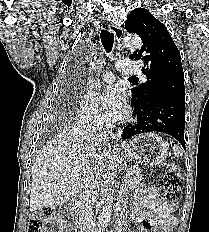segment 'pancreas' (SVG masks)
<instances>
[{"label": "pancreas", "mask_w": 209, "mask_h": 232, "mask_svg": "<svg viewBox=\"0 0 209 232\" xmlns=\"http://www.w3.org/2000/svg\"><path fill=\"white\" fill-rule=\"evenodd\" d=\"M128 173L130 174L127 177V186L129 189H135L142 180L141 171L138 167L134 166L128 169Z\"/></svg>", "instance_id": "1"}]
</instances>
